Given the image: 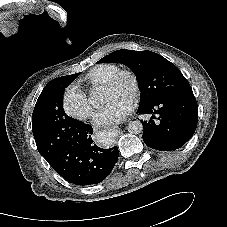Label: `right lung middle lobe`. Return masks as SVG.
<instances>
[{"mask_svg":"<svg viewBox=\"0 0 227 227\" xmlns=\"http://www.w3.org/2000/svg\"><path fill=\"white\" fill-rule=\"evenodd\" d=\"M80 73L58 77L41 92L33 111L32 132L39 153L51 157L71 136L70 128L76 122L65 114L63 95L66 86Z\"/></svg>","mask_w":227,"mask_h":227,"instance_id":"obj_1","label":"right lung middle lobe"}]
</instances>
